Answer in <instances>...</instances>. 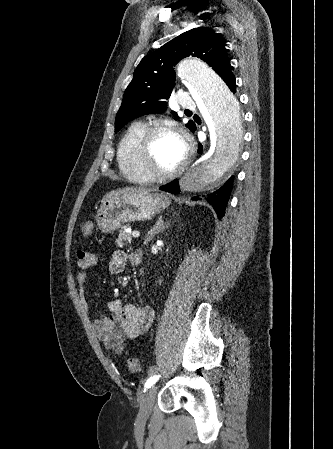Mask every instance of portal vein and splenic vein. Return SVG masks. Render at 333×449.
<instances>
[{
	"label": "portal vein and splenic vein",
	"mask_w": 333,
	"mask_h": 449,
	"mask_svg": "<svg viewBox=\"0 0 333 449\" xmlns=\"http://www.w3.org/2000/svg\"><path fill=\"white\" fill-rule=\"evenodd\" d=\"M132 236H133L134 238H138V237L140 236V232L134 231V232L132 233Z\"/></svg>",
	"instance_id": "1"
}]
</instances>
